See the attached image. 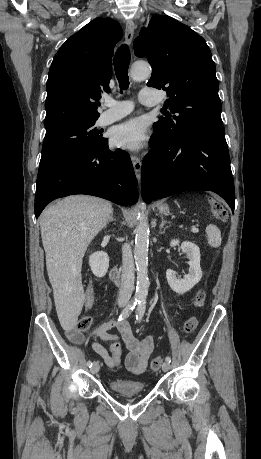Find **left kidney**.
I'll return each mask as SVG.
<instances>
[{
	"label": "left kidney",
	"instance_id": "1",
	"mask_svg": "<svg viewBox=\"0 0 261 459\" xmlns=\"http://www.w3.org/2000/svg\"><path fill=\"white\" fill-rule=\"evenodd\" d=\"M179 245V240H172L170 246ZM180 248L186 253L189 259V273L183 279H177L173 270L166 271V278L171 289L178 293L184 294L191 290L202 278V271L200 267V249L192 242L184 241L181 243Z\"/></svg>",
	"mask_w": 261,
	"mask_h": 459
}]
</instances>
